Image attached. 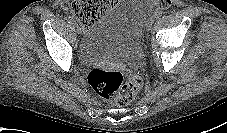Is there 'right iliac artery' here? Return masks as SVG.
I'll return each instance as SVG.
<instances>
[{
  "instance_id": "right-iliac-artery-1",
  "label": "right iliac artery",
  "mask_w": 227,
  "mask_h": 133,
  "mask_svg": "<svg viewBox=\"0 0 227 133\" xmlns=\"http://www.w3.org/2000/svg\"><path fill=\"white\" fill-rule=\"evenodd\" d=\"M66 19H67L68 23H70V24H74V22H75L74 18L71 16H68Z\"/></svg>"
}]
</instances>
